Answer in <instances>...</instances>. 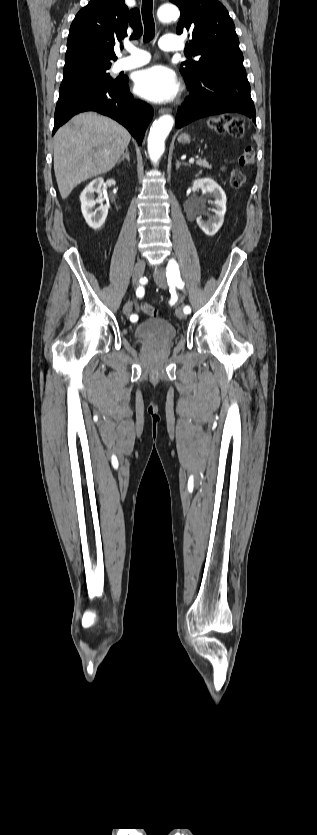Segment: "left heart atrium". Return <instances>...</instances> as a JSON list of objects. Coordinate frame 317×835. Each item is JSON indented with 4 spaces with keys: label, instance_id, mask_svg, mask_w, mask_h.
Segmentation results:
<instances>
[{
    "label": "left heart atrium",
    "instance_id": "left-heart-atrium-1",
    "mask_svg": "<svg viewBox=\"0 0 317 835\" xmlns=\"http://www.w3.org/2000/svg\"><path fill=\"white\" fill-rule=\"evenodd\" d=\"M178 90L176 75L166 66L154 65L136 74V93L152 102H168L176 96Z\"/></svg>",
    "mask_w": 317,
    "mask_h": 835
}]
</instances>
